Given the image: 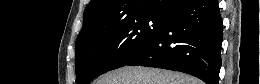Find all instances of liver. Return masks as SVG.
Returning a JSON list of instances; mask_svg holds the SVG:
<instances>
[{"label": "liver", "mask_w": 260, "mask_h": 84, "mask_svg": "<svg viewBox=\"0 0 260 84\" xmlns=\"http://www.w3.org/2000/svg\"><path fill=\"white\" fill-rule=\"evenodd\" d=\"M95 84H202V82L181 72L125 66L106 73Z\"/></svg>", "instance_id": "6515ba94"}]
</instances>
